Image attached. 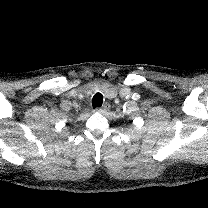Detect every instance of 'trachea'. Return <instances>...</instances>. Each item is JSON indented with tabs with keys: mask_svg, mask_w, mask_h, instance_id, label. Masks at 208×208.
Wrapping results in <instances>:
<instances>
[{
	"mask_svg": "<svg viewBox=\"0 0 208 208\" xmlns=\"http://www.w3.org/2000/svg\"><path fill=\"white\" fill-rule=\"evenodd\" d=\"M103 104V95L101 93H96L92 99L93 108L101 107Z\"/></svg>",
	"mask_w": 208,
	"mask_h": 208,
	"instance_id": "obj_1",
	"label": "trachea"
}]
</instances>
